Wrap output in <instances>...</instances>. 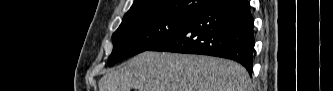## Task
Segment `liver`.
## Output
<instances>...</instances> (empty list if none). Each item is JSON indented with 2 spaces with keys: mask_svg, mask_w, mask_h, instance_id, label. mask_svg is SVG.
<instances>
[{
  "mask_svg": "<svg viewBox=\"0 0 333 91\" xmlns=\"http://www.w3.org/2000/svg\"><path fill=\"white\" fill-rule=\"evenodd\" d=\"M251 91L246 69L209 56L145 51L99 81V91Z\"/></svg>",
  "mask_w": 333,
  "mask_h": 91,
  "instance_id": "obj_1",
  "label": "liver"
}]
</instances>
